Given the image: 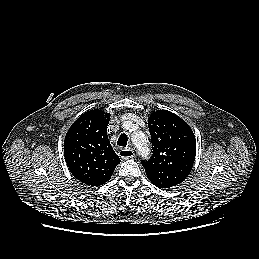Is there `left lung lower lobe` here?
<instances>
[{
	"mask_svg": "<svg viewBox=\"0 0 259 259\" xmlns=\"http://www.w3.org/2000/svg\"><path fill=\"white\" fill-rule=\"evenodd\" d=\"M146 175L148 179L159 188H170L184 181L180 176L172 173L152 174L146 172Z\"/></svg>",
	"mask_w": 259,
	"mask_h": 259,
	"instance_id": "left-lung-lower-lobe-1",
	"label": "left lung lower lobe"
}]
</instances>
